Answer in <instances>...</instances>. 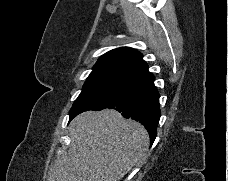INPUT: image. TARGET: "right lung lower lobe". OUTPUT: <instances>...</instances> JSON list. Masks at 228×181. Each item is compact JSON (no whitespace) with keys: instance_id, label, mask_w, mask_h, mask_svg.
<instances>
[{"instance_id":"obj_1","label":"right lung lower lobe","mask_w":228,"mask_h":181,"mask_svg":"<svg viewBox=\"0 0 228 181\" xmlns=\"http://www.w3.org/2000/svg\"><path fill=\"white\" fill-rule=\"evenodd\" d=\"M153 81L154 76L147 72L130 81L114 98L90 110L112 108L122 112L126 118L139 121L149 132L152 144L157 135L160 118L159 93Z\"/></svg>"}]
</instances>
